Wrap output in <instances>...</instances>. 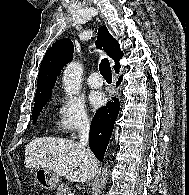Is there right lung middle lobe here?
<instances>
[{"instance_id": "dd1d6c3e", "label": "right lung middle lobe", "mask_w": 189, "mask_h": 195, "mask_svg": "<svg viewBox=\"0 0 189 195\" xmlns=\"http://www.w3.org/2000/svg\"><path fill=\"white\" fill-rule=\"evenodd\" d=\"M49 100V98L41 100L39 102H36L34 104V108L32 111V117H33V124L36 123V120L38 118L39 113L41 112V110L43 109L44 105L46 104V102Z\"/></svg>"}]
</instances>
